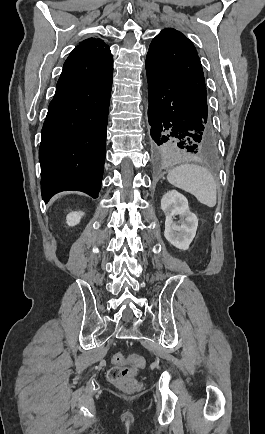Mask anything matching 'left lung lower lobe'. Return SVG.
<instances>
[{"mask_svg": "<svg viewBox=\"0 0 265 434\" xmlns=\"http://www.w3.org/2000/svg\"><path fill=\"white\" fill-rule=\"evenodd\" d=\"M149 82L148 120L151 145L165 155L180 148L187 152L213 153L216 134L208 107L190 94L168 71L147 56Z\"/></svg>", "mask_w": 265, "mask_h": 434, "instance_id": "obj_1", "label": "left lung lower lobe"}]
</instances>
